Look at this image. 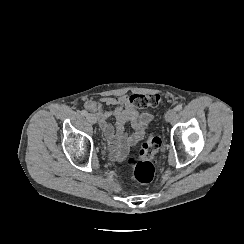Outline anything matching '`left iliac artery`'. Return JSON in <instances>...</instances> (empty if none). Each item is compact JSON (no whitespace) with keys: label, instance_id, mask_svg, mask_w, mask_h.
<instances>
[{"label":"left iliac artery","instance_id":"left-iliac-artery-1","mask_svg":"<svg viewBox=\"0 0 244 244\" xmlns=\"http://www.w3.org/2000/svg\"><path fill=\"white\" fill-rule=\"evenodd\" d=\"M182 109V105L181 104H178L176 107H175V110L176 111H180Z\"/></svg>","mask_w":244,"mask_h":244}]
</instances>
